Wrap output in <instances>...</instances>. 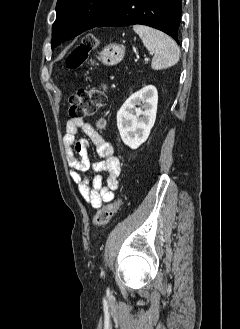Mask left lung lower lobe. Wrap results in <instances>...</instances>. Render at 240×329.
Here are the masks:
<instances>
[{
  "label": "left lung lower lobe",
  "instance_id": "1",
  "mask_svg": "<svg viewBox=\"0 0 240 329\" xmlns=\"http://www.w3.org/2000/svg\"><path fill=\"white\" fill-rule=\"evenodd\" d=\"M182 0H120L97 27L147 25L170 35L177 43Z\"/></svg>",
  "mask_w": 240,
  "mask_h": 329
}]
</instances>
